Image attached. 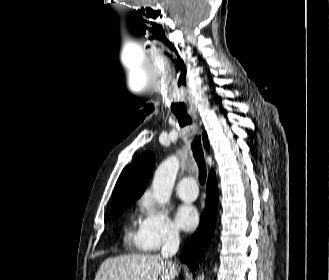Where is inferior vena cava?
I'll return each instance as SVG.
<instances>
[{
	"mask_svg": "<svg viewBox=\"0 0 329 280\" xmlns=\"http://www.w3.org/2000/svg\"><path fill=\"white\" fill-rule=\"evenodd\" d=\"M180 239L176 230H169L163 241L161 255L168 263H172L169 258L173 257L179 249Z\"/></svg>",
	"mask_w": 329,
	"mask_h": 280,
	"instance_id": "602c4592",
	"label": "inferior vena cava"
}]
</instances>
